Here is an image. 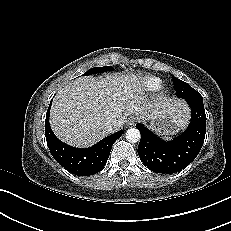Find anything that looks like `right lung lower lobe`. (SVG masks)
<instances>
[{
    "mask_svg": "<svg viewBox=\"0 0 231 231\" xmlns=\"http://www.w3.org/2000/svg\"><path fill=\"white\" fill-rule=\"evenodd\" d=\"M50 102L45 119V136L48 148L54 159L69 172L77 176L94 175L101 171L110 155L114 142L124 131H118L90 148H74L60 141L49 124Z\"/></svg>",
    "mask_w": 231,
    "mask_h": 231,
    "instance_id": "1",
    "label": "right lung lower lobe"
}]
</instances>
